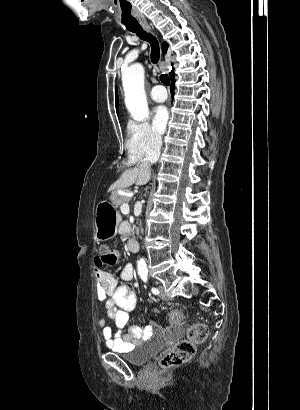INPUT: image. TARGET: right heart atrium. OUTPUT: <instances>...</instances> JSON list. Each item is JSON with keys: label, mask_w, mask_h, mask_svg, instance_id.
<instances>
[{"label": "right heart atrium", "mask_w": 300, "mask_h": 410, "mask_svg": "<svg viewBox=\"0 0 300 410\" xmlns=\"http://www.w3.org/2000/svg\"><path fill=\"white\" fill-rule=\"evenodd\" d=\"M127 133L126 149L130 160H141L161 147V134L147 121H130Z\"/></svg>", "instance_id": "right-heart-atrium-1"}]
</instances>
